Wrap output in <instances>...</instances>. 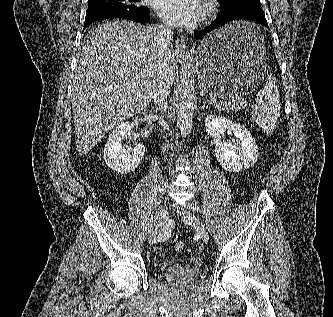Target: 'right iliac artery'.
<instances>
[{
  "instance_id": "right-iliac-artery-1",
  "label": "right iliac artery",
  "mask_w": 333,
  "mask_h": 317,
  "mask_svg": "<svg viewBox=\"0 0 333 317\" xmlns=\"http://www.w3.org/2000/svg\"><path fill=\"white\" fill-rule=\"evenodd\" d=\"M171 235V231L170 230H167L163 235H161L159 238H158V241H164V240H167Z\"/></svg>"
}]
</instances>
